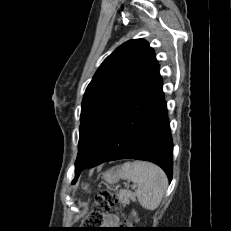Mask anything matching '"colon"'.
I'll use <instances>...</instances> for the list:
<instances>
[{
	"label": "colon",
	"mask_w": 231,
	"mask_h": 231,
	"mask_svg": "<svg viewBox=\"0 0 231 231\" xmlns=\"http://www.w3.org/2000/svg\"><path fill=\"white\" fill-rule=\"evenodd\" d=\"M119 204L117 195L110 190H102L95 199L93 209L85 218L84 223L90 227L101 226L104 223L105 216L112 208Z\"/></svg>",
	"instance_id": "5ec220e1"
}]
</instances>
